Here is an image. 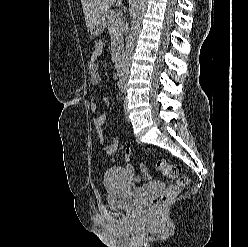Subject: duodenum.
Listing matches in <instances>:
<instances>
[{"label":"duodenum","mask_w":248,"mask_h":247,"mask_svg":"<svg viewBox=\"0 0 248 247\" xmlns=\"http://www.w3.org/2000/svg\"><path fill=\"white\" fill-rule=\"evenodd\" d=\"M124 63V53L118 52L116 55L115 66L117 71H121Z\"/></svg>","instance_id":"1"}]
</instances>
